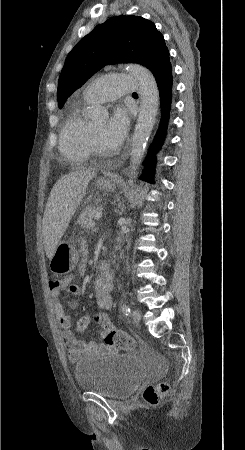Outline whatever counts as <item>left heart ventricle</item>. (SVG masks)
<instances>
[{
	"label": "left heart ventricle",
	"mask_w": 245,
	"mask_h": 450,
	"mask_svg": "<svg viewBox=\"0 0 245 450\" xmlns=\"http://www.w3.org/2000/svg\"><path fill=\"white\" fill-rule=\"evenodd\" d=\"M107 120H98L92 123L94 134L98 142L107 150H113V148L106 142L105 130H106Z\"/></svg>",
	"instance_id": "1"
}]
</instances>
